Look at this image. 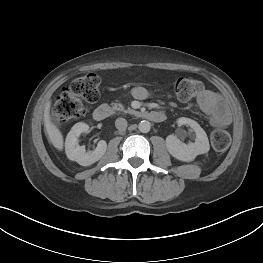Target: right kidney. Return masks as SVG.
Returning a JSON list of instances; mask_svg holds the SVG:
<instances>
[{
  "mask_svg": "<svg viewBox=\"0 0 263 263\" xmlns=\"http://www.w3.org/2000/svg\"><path fill=\"white\" fill-rule=\"evenodd\" d=\"M89 130V125L84 122L76 123L68 133L65 141V151L68 159L82 166H90L100 160L106 152L107 143L100 140L94 151L86 152L85 146L78 145V137Z\"/></svg>",
  "mask_w": 263,
  "mask_h": 263,
  "instance_id": "obj_1",
  "label": "right kidney"
}]
</instances>
